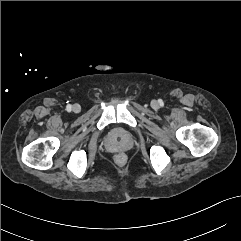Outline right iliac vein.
Returning a JSON list of instances; mask_svg holds the SVG:
<instances>
[{"label": "right iliac vein", "instance_id": "1", "mask_svg": "<svg viewBox=\"0 0 241 241\" xmlns=\"http://www.w3.org/2000/svg\"><path fill=\"white\" fill-rule=\"evenodd\" d=\"M72 111H73L74 113H79V112L81 111V106H80L79 104H74V105L72 106Z\"/></svg>", "mask_w": 241, "mask_h": 241}]
</instances>
